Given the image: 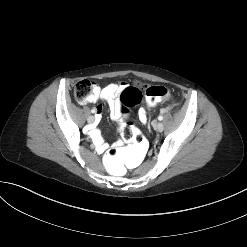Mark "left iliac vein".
Segmentation results:
<instances>
[{
	"mask_svg": "<svg viewBox=\"0 0 247 247\" xmlns=\"http://www.w3.org/2000/svg\"><path fill=\"white\" fill-rule=\"evenodd\" d=\"M154 128H155V130H157L158 132H162L163 129H164V126H163V124H162L161 122H158V123H156V124L154 125Z\"/></svg>",
	"mask_w": 247,
	"mask_h": 247,
	"instance_id": "4c4485c4",
	"label": "left iliac vein"
}]
</instances>
